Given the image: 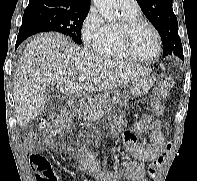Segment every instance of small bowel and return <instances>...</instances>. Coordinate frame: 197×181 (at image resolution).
Masks as SVG:
<instances>
[{
    "mask_svg": "<svg viewBox=\"0 0 197 181\" xmlns=\"http://www.w3.org/2000/svg\"><path fill=\"white\" fill-rule=\"evenodd\" d=\"M143 123L145 124L146 121L143 120ZM114 126L118 130H124L123 141L130 153L123 162L124 175L132 181H149V176H154L156 168L162 161L164 149L167 147V139L161 131L162 123L159 120L151 122L149 142L140 145L136 144L135 126H128L123 119L116 120ZM31 138H35V135ZM44 142L52 149H58L64 153H76L77 168L92 175L98 181L121 180V175L116 169L103 170L87 147L76 151L70 144L55 142L50 137H46ZM29 162L37 174L35 181H60L50 162L43 155L32 152L29 154Z\"/></svg>",
    "mask_w": 197,
    "mask_h": 181,
    "instance_id": "small-bowel-1",
    "label": "small bowel"
}]
</instances>
